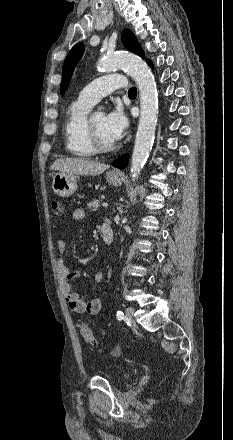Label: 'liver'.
Segmentation results:
<instances>
[{
  "label": "liver",
  "instance_id": "1",
  "mask_svg": "<svg viewBox=\"0 0 233 440\" xmlns=\"http://www.w3.org/2000/svg\"><path fill=\"white\" fill-rule=\"evenodd\" d=\"M109 168L104 163L91 161L85 158L57 159L51 165V170L77 175H98Z\"/></svg>",
  "mask_w": 233,
  "mask_h": 440
}]
</instances>
